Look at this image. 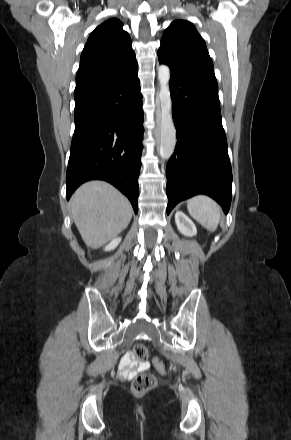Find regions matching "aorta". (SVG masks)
Wrapping results in <instances>:
<instances>
[{
    "mask_svg": "<svg viewBox=\"0 0 291 440\" xmlns=\"http://www.w3.org/2000/svg\"><path fill=\"white\" fill-rule=\"evenodd\" d=\"M158 79L160 83L159 99L161 103V138H160V156L163 159H169L176 146V129L172 118V101L169 90L170 70L166 65L158 67Z\"/></svg>",
    "mask_w": 291,
    "mask_h": 440,
    "instance_id": "762f6f07",
    "label": "aorta"
}]
</instances>
